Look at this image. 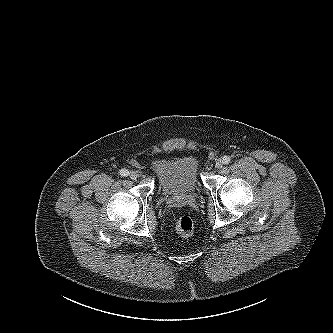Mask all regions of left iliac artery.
Listing matches in <instances>:
<instances>
[{
  "label": "left iliac artery",
  "mask_w": 333,
  "mask_h": 333,
  "mask_svg": "<svg viewBox=\"0 0 333 333\" xmlns=\"http://www.w3.org/2000/svg\"><path fill=\"white\" fill-rule=\"evenodd\" d=\"M231 161V158L229 156H224L222 158L223 164H228Z\"/></svg>",
  "instance_id": "left-iliac-artery-1"
}]
</instances>
